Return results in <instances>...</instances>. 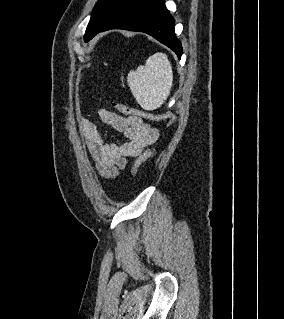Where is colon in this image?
I'll list each match as a JSON object with an SVG mask.
<instances>
[{
	"mask_svg": "<svg viewBox=\"0 0 284 319\" xmlns=\"http://www.w3.org/2000/svg\"><path fill=\"white\" fill-rule=\"evenodd\" d=\"M112 106L119 113L129 116H134L138 118H142L143 120H151V121H167L168 126L172 125L175 121V115L171 112H163V113H149L145 111H141L135 109L131 106H128L119 102H112ZM155 154V151L152 149L146 150L143 154H141L132 165V174L136 176L139 172L141 165L148 159L152 158Z\"/></svg>",
	"mask_w": 284,
	"mask_h": 319,
	"instance_id": "5ec220e1",
	"label": "colon"
}]
</instances>
